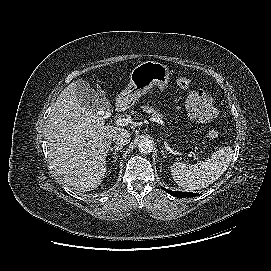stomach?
<instances>
[{"instance_id": "obj_1", "label": "stomach", "mask_w": 271, "mask_h": 271, "mask_svg": "<svg viewBox=\"0 0 271 271\" xmlns=\"http://www.w3.org/2000/svg\"><path fill=\"white\" fill-rule=\"evenodd\" d=\"M169 74V69L164 64L155 61L139 64L130 73L128 86L118 94L117 103L128 107L154 85L164 90L169 81Z\"/></svg>"}]
</instances>
